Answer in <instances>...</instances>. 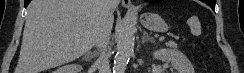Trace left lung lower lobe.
<instances>
[{"label": "left lung lower lobe", "instance_id": "0a47b994", "mask_svg": "<svg viewBox=\"0 0 244 73\" xmlns=\"http://www.w3.org/2000/svg\"><path fill=\"white\" fill-rule=\"evenodd\" d=\"M158 0H146V2H157ZM202 2L206 3L207 5L211 6L213 10H215V2L216 0H202Z\"/></svg>", "mask_w": 244, "mask_h": 73}]
</instances>
